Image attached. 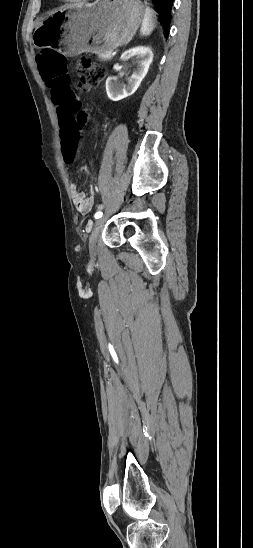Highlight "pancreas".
I'll list each match as a JSON object with an SVG mask.
<instances>
[{
    "instance_id": "1",
    "label": "pancreas",
    "mask_w": 253,
    "mask_h": 548,
    "mask_svg": "<svg viewBox=\"0 0 253 548\" xmlns=\"http://www.w3.org/2000/svg\"><path fill=\"white\" fill-rule=\"evenodd\" d=\"M98 55V58L101 60H110L112 58L111 52H104V53H96Z\"/></svg>"
}]
</instances>
